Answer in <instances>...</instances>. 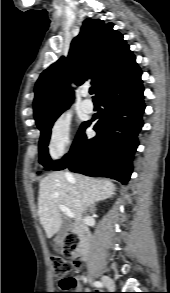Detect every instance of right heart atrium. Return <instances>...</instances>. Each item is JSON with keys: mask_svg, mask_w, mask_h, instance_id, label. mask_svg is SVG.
Segmentation results:
<instances>
[{"mask_svg": "<svg viewBox=\"0 0 170 293\" xmlns=\"http://www.w3.org/2000/svg\"><path fill=\"white\" fill-rule=\"evenodd\" d=\"M70 119L60 115L54 121L48 139V153L53 159H58L70 145Z\"/></svg>", "mask_w": 170, "mask_h": 293, "instance_id": "right-heart-atrium-1", "label": "right heart atrium"}]
</instances>
